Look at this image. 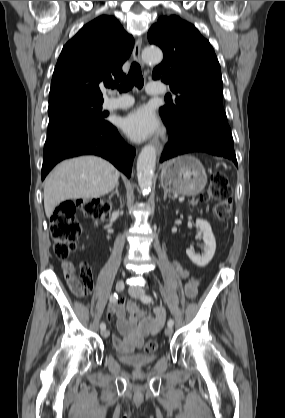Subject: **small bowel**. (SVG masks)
Returning a JSON list of instances; mask_svg holds the SVG:
<instances>
[{
	"instance_id": "1",
	"label": "small bowel",
	"mask_w": 285,
	"mask_h": 418,
	"mask_svg": "<svg viewBox=\"0 0 285 418\" xmlns=\"http://www.w3.org/2000/svg\"><path fill=\"white\" fill-rule=\"evenodd\" d=\"M174 265L180 277L188 280L184 286L186 296L194 298L198 292L199 281L196 278H191L190 271L180 263L175 262ZM64 267L65 280L73 292L78 282L84 284L89 292L92 290V271L88 263L81 262L79 270L73 263H66ZM126 309L128 318L124 315L123 303L115 302L109 310L108 318L112 320L116 317L120 331L127 336V340L122 341L117 335H113L114 347L117 350L128 352L140 348L145 337L156 335L161 330L166 320V311L164 307L158 306L153 314H146L133 302H128Z\"/></svg>"
}]
</instances>
